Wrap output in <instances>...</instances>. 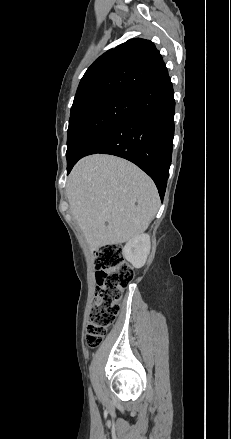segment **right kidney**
<instances>
[{
  "instance_id": "1",
  "label": "right kidney",
  "mask_w": 231,
  "mask_h": 439,
  "mask_svg": "<svg viewBox=\"0 0 231 439\" xmlns=\"http://www.w3.org/2000/svg\"><path fill=\"white\" fill-rule=\"evenodd\" d=\"M150 236L140 234L132 238L123 248V256L135 267L141 268L150 252Z\"/></svg>"
}]
</instances>
